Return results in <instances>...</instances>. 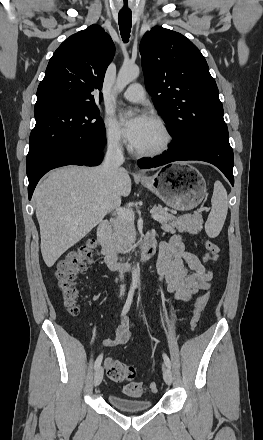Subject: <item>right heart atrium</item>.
Wrapping results in <instances>:
<instances>
[{"label":"right heart atrium","instance_id":"right-heart-atrium-1","mask_svg":"<svg viewBox=\"0 0 263 440\" xmlns=\"http://www.w3.org/2000/svg\"><path fill=\"white\" fill-rule=\"evenodd\" d=\"M104 137L108 146L112 148H121L124 144L123 136L111 117L104 122Z\"/></svg>","mask_w":263,"mask_h":440}]
</instances>
